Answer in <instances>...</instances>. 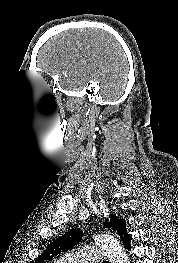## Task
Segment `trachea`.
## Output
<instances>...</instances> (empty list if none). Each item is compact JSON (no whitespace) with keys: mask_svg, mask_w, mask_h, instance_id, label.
Here are the masks:
<instances>
[{"mask_svg":"<svg viewBox=\"0 0 178 263\" xmlns=\"http://www.w3.org/2000/svg\"><path fill=\"white\" fill-rule=\"evenodd\" d=\"M103 263H108V261H104Z\"/></svg>","mask_w":178,"mask_h":263,"instance_id":"3493384b","label":"trachea"}]
</instances>
